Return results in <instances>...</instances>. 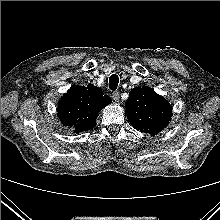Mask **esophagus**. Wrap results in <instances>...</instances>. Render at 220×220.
<instances>
[{
	"label": "esophagus",
	"instance_id": "esophagus-1",
	"mask_svg": "<svg viewBox=\"0 0 220 220\" xmlns=\"http://www.w3.org/2000/svg\"><path fill=\"white\" fill-rule=\"evenodd\" d=\"M112 98H113V100H114L116 103H118L119 100H120V94H119V92H117V91L113 92V93H112Z\"/></svg>",
	"mask_w": 220,
	"mask_h": 220
}]
</instances>
